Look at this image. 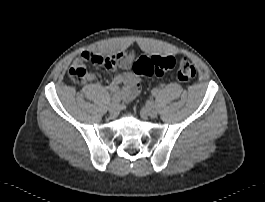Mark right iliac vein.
Masks as SVG:
<instances>
[{"label": "right iliac vein", "instance_id": "1", "mask_svg": "<svg viewBox=\"0 0 265 202\" xmlns=\"http://www.w3.org/2000/svg\"><path fill=\"white\" fill-rule=\"evenodd\" d=\"M119 112V106L117 104H112L109 107V114L111 117H116Z\"/></svg>", "mask_w": 265, "mask_h": 202}]
</instances>
